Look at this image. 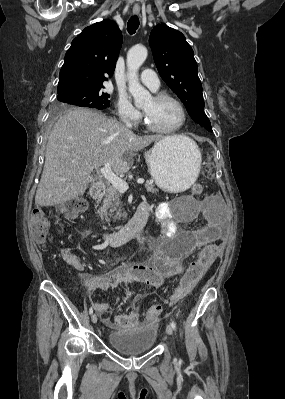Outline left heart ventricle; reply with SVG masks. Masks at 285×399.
<instances>
[{"mask_svg":"<svg viewBox=\"0 0 285 399\" xmlns=\"http://www.w3.org/2000/svg\"><path fill=\"white\" fill-rule=\"evenodd\" d=\"M143 110L154 125L160 128H171L182 120L180 107L172 100L156 101L151 98Z\"/></svg>","mask_w":285,"mask_h":399,"instance_id":"obj_1","label":"left heart ventricle"}]
</instances>
